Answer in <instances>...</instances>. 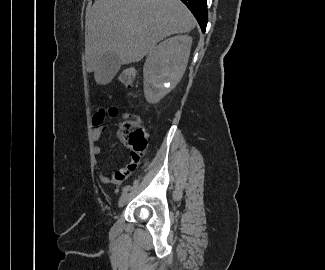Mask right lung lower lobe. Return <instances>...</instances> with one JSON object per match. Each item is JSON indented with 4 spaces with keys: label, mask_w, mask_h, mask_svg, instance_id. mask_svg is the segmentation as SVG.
I'll return each mask as SVG.
<instances>
[{
    "label": "right lung lower lobe",
    "mask_w": 325,
    "mask_h": 270,
    "mask_svg": "<svg viewBox=\"0 0 325 270\" xmlns=\"http://www.w3.org/2000/svg\"><path fill=\"white\" fill-rule=\"evenodd\" d=\"M197 19L202 32H205L208 14L206 0H181Z\"/></svg>",
    "instance_id": "right-lung-lower-lobe-1"
}]
</instances>
